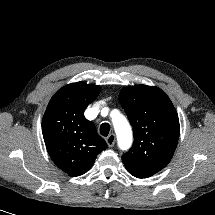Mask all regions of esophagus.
I'll list each match as a JSON object with an SVG mask.
<instances>
[{"label": "esophagus", "mask_w": 215, "mask_h": 215, "mask_svg": "<svg viewBox=\"0 0 215 215\" xmlns=\"http://www.w3.org/2000/svg\"><path fill=\"white\" fill-rule=\"evenodd\" d=\"M115 135L114 134H110L107 138H106V143L109 147H113L115 144Z\"/></svg>", "instance_id": "1"}]
</instances>
